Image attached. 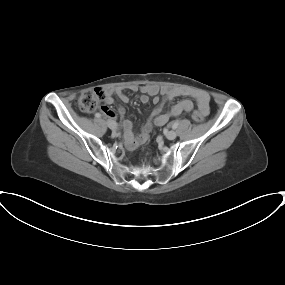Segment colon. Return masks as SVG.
Returning <instances> with one entry per match:
<instances>
[{
    "instance_id": "1",
    "label": "colon",
    "mask_w": 285,
    "mask_h": 285,
    "mask_svg": "<svg viewBox=\"0 0 285 285\" xmlns=\"http://www.w3.org/2000/svg\"><path fill=\"white\" fill-rule=\"evenodd\" d=\"M104 99V92L101 89L95 88L84 91L76 100L77 107L86 113L96 110L101 101ZM192 118L196 122H203L205 115L200 110H195L192 113Z\"/></svg>"
}]
</instances>
